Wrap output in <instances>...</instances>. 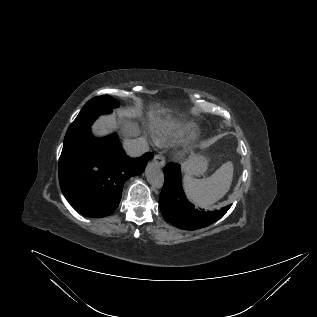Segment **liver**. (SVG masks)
Returning <instances> with one entry per match:
<instances>
[{
  "instance_id": "1",
  "label": "liver",
  "mask_w": 317,
  "mask_h": 317,
  "mask_svg": "<svg viewBox=\"0 0 317 317\" xmlns=\"http://www.w3.org/2000/svg\"><path fill=\"white\" fill-rule=\"evenodd\" d=\"M149 107L151 108V110L149 111L150 120L155 123L161 121V114H166L168 112L166 108L160 107L159 104H151ZM169 117L170 116L167 114L166 118ZM118 123L119 121H117V119L113 116H103L99 118L92 126L93 133L96 136H105L109 134L112 131V129H114L117 126ZM126 132L132 135L136 132V129L134 126L128 124L126 125Z\"/></svg>"
}]
</instances>
